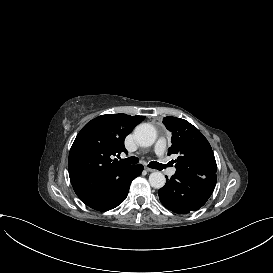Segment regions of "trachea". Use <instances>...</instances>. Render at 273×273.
<instances>
[{
	"instance_id": "3493384b",
	"label": "trachea",
	"mask_w": 273,
	"mask_h": 273,
	"mask_svg": "<svg viewBox=\"0 0 273 273\" xmlns=\"http://www.w3.org/2000/svg\"><path fill=\"white\" fill-rule=\"evenodd\" d=\"M123 161L128 163V164H137L138 163V158H136L135 156H131V157L123 159ZM167 166H168V164L164 165V164H160V163L155 162V161L150 162L149 165H148L149 168L157 169L159 171L165 169Z\"/></svg>"
}]
</instances>
